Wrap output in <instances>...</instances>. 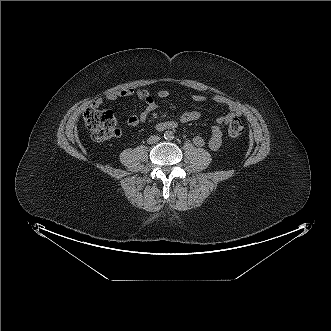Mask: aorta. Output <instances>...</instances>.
I'll use <instances>...</instances> for the list:
<instances>
[{
	"instance_id": "762f6f07",
	"label": "aorta",
	"mask_w": 331,
	"mask_h": 331,
	"mask_svg": "<svg viewBox=\"0 0 331 331\" xmlns=\"http://www.w3.org/2000/svg\"><path fill=\"white\" fill-rule=\"evenodd\" d=\"M164 138H165L166 140H172V139L174 138V133H173V131H171V130H167V131H165V133H164Z\"/></svg>"
}]
</instances>
